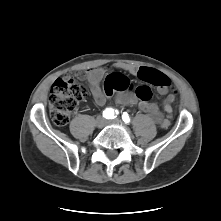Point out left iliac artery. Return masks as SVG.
<instances>
[{"label": "left iliac artery", "mask_w": 221, "mask_h": 221, "mask_svg": "<svg viewBox=\"0 0 221 221\" xmlns=\"http://www.w3.org/2000/svg\"><path fill=\"white\" fill-rule=\"evenodd\" d=\"M122 120L125 122V123H129L130 122V118H129V115L124 112L123 115H122Z\"/></svg>", "instance_id": "obj_1"}]
</instances>
